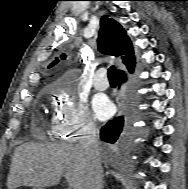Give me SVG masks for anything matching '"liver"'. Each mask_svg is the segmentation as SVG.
Wrapping results in <instances>:
<instances>
[{"label":"liver","mask_w":188,"mask_h":189,"mask_svg":"<svg viewBox=\"0 0 188 189\" xmlns=\"http://www.w3.org/2000/svg\"><path fill=\"white\" fill-rule=\"evenodd\" d=\"M73 189H85L90 163L78 146L66 143L27 142L13 154L8 189L30 186L33 189L57 185L62 174Z\"/></svg>","instance_id":"6515ba94"}]
</instances>
